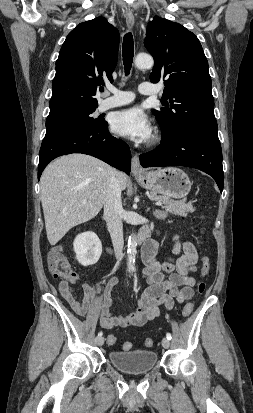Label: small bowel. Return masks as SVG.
I'll list each match as a JSON object with an SVG mask.
<instances>
[{"mask_svg":"<svg viewBox=\"0 0 253 413\" xmlns=\"http://www.w3.org/2000/svg\"><path fill=\"white\" fill-rule=\"evenodd\" d=\"M174 241L172 253L175 257L164 261L156 257L158 249L156 241L150 240L144 245L142 275L147 287L139 298L138 309L135 312L127 315H114L111 312L112 302L109 292L117 283V278L111 277L108 280L104 288L99 315V323L103 328L142 326L147 321L161 315V305L165 310H170L174 303L181 304L192 299L195 279L191 273L197 270L198 253L191 242H181L178 236H174ZM78 282L79 277L75 274L72 278L59 283V291L75 313L85 316L94 307L95 297L100 287L83 283L81 285L83 296L78 299L71 288V284Z\"/></svg>","mask_w":253,"mask_h":413,"instance_id":"obj_1","label":"small bowel"}]
</instances>
